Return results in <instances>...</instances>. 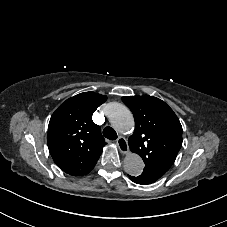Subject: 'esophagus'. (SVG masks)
<instances>
[{"instance_id": "esophagus-1", "label": "esophagus", "mask_w": 227, "mask_h": 227, "mask_svg": "<svg viewBox=\"0 0 227 227\" xmlns=\"http://www.w3.org/2000/svg\"><path fill=\"white\" fill-rule=\"evenodd\" d=\"M116 143L121 153L127 154L129 152L128 142L125 137L119 136Z\"/></svg>"}]
</instances>
